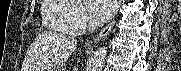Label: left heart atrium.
Listing matches in <instances>:
<instances>
[{"instance_id": "obj_1", "label": "left heart atrium", "mask_w": 181, "mask_h": 71, "mask_svg": "<svg viewBox=\"0 0 181 71\" xmlns=\"http://www.w3.org/2000/svg\"><path fill=\"white\" fill-rule=\"evenodd\" d=\"M116 0H89V11L97 21L108 20L116 11Z\"/></svg>"}]
</instances>
